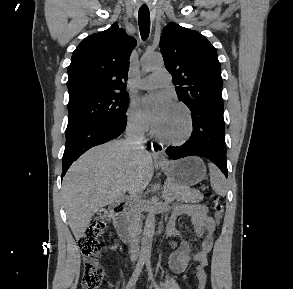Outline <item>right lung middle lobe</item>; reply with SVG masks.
<instances>
[{
  "label": "right lung middle lobe",
  "instance_id": "1",
  "mask_svg": "<svg viewBox=\"0 0 293 289\" xmlns=\"http://www.w3.org/2000/svg\"><path fill=\"white\" fill-rule=\"evenodd\" d=\"M127 92L89 95L70 100L66 135L89 124L126 115Z\"/></svg>",
  "mask_w": 293,
  "mask_h": 289
}]
</instances>
